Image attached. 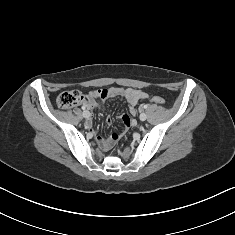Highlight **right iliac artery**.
I'll list each match as a JSON object with an SVG mask.
<instances>
[{"label": "right iliac artery", "mask_w": 235, "mask_h": 235, "mask_svg": "<svg viewBox=\"0 0 235 235\" xmlns=\"http://www.w3.org/2000/svg\"><path fill=\"white\" fill-rule=\"evenodd\" d=\"M82 110L84 111L83 113L88 112L84 106H82Z\"/></svg>", "instance_id": "1"}]
</instances>
